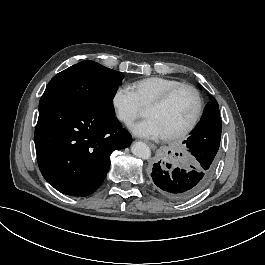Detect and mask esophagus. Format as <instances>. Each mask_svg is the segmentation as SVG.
<instances>
[{
    "instance_id": "34e87169",
    "label": "esophagus",
    "mask_w": 265,
    "mask_h": 265,
    "mask_svg": "<svg viewBox=\"0 0 265 265\" xmlns=\"http://www.w3.org/2000/svg\"><path fill=\"white\" fill-rule=\"evenodd\" d=\"M145 143L150 147L151 150H155L156 149V146L153 143L148 142V141H145Z\"/></svg>"
}]
</instances>
